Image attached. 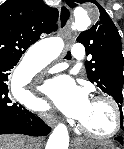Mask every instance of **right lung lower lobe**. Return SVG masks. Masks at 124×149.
<instances>
[{
  "label": "right lung lower lobe",
  "instance_id": "obj_1",
  "mask_svg": "<svg viewBox=\"0 0 124 149\" xmlns=\"http://www.w3.org/2000/svg\"><path fill=\"white\" fill-rule=\"evenodd\" d=\"M16 64L15 61L0 62V134L48 135L51 128L37 114L12 101L8 93V76Z\"/></svg>",
  "mask_w": 124,
  "mask_h": 149
}]
</instances>
